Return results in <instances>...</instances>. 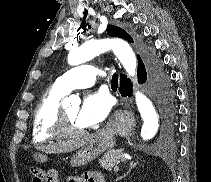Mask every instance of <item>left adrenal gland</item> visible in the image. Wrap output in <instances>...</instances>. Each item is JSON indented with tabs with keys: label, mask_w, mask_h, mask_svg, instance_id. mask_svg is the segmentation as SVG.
Here are the masks:
<instances>
[{
	"label": "left adrenal gland",
	"mask_w": 211,
	"mask_h": 182,
	"mask_svg": "<svg viewBox=\"0 0 211 182\" xmlns=\"http://www.w3.org/2000/svg\"><path fill=\"white\" fill-rule=\"evenodd\" d=\"M137 164H138V162H136V163L131 162V163L129 164L130 168H129V170L127 171V173H125L123 176L118 177V178L116 179V181H119V180H121L122 178H124L126 175H128V174L131 172V170H132Z\"/></svg>",
	"instance_id": "a2214340"
}]
</instances>
